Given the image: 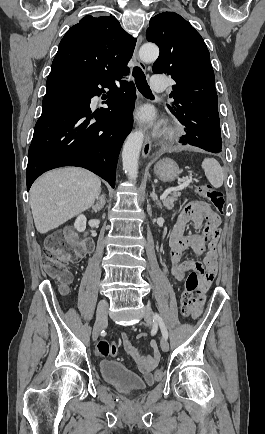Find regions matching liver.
Returning a JSON list of instances; mask_svg holds the SVG:
<instances>
[{
    "mask_svg": "<svg viewBox=\"0 0 265 434\" xmlns=\"http://www.w3.org/2000/svg\"><path fill=\"white\" fill-rule=\"evenodd\" d=\"M100 192V178L82 168H62L44 174L30 190V206L37 232L46 234L89 210Z\"/></svg>",
    "mask_w": 265,
    "mask_h": 434,
    "instance_id": "liver-1",
    "label": "liver"
}]
</instances>
